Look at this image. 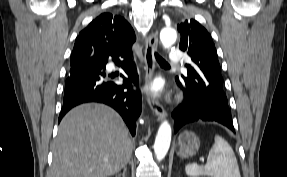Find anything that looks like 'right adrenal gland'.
I'll return each instance as SVG.
<instances>
[{
    "instance_id": "2a0ac1e0",
    "label": "right adrenal gland",
    "mask_w": 287,
    "mask_h": 177,
    "mask_svg": "<svg viewBox=\"0 0 287 177\" xmlns=\"http://www.w3.org/2000/svg\"><path fill=\"white\" fill-rule=\"evenodd\" d=\"M126 171H127V168L124 167L123 172H122V177H125ZM116 177H120V175H116Z\"/></svg>"
}]
</instances>
